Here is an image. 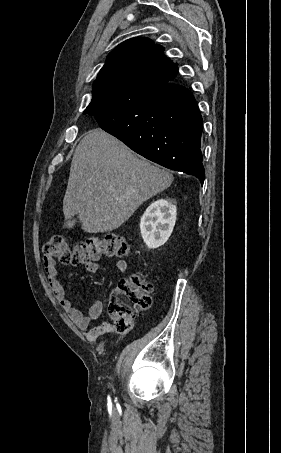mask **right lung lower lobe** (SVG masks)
Returning <instances> with one entry per match:
<instances>
[{
	"mask_svg": "<svg viewBox=\"0 0 281 453\" xmlns=\"http://www.w3.org/2000/svg\"><path fill=\"white\" fill-rule=\"evenodd\" d=\"M99 126L143 157L205 179L200 149L203 120L191 92L173 82L129 101L86 112Z\"/></svg>",
	"mask_w": 281,
	"mask_h": 453,
	"instance_id": "right-lung-lower-lobe-1",
	"label": "right lung lower lobe"
}]
</instances>
